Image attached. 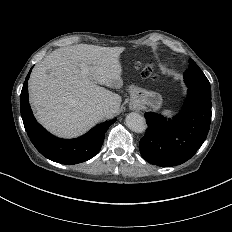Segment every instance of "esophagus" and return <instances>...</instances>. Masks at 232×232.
Listing matches in <instances>:
<instances>
[{
  "label": "esophagus",
  "instance_id": "esophagus-1",
  "mask_svg": "<svg viewBox=\"0 0 232 232\" xmlns=\"http://www.w3.org/2000/svg\"><path fill=\"white\" fill-rule=\"evenodd\" d=\"M130 107L133 109V110H136L138 108L137 105H135L134 103H130Z\"/></svg>",
  "mask_w": 232,
  "mask_h": 232
}]
</instances>
